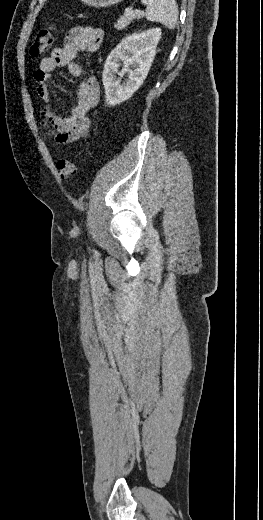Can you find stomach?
I'll return each instance as SVG.
<instances>
[{
    "instance_id": "1",
    "label": "stomach",
    "mask_w": 263,
    "mask_h": 520,
    "mask_svg": "<svg viewBox=\"0 0 263 520\" xmlns=\"http://www.w3.org/2000/svg\"><path fill=\"white\" fill-rule=\"evenodd\" d=\"M86 5L96 7V8H105L115 5L123 0H81Z\"/></svg>"
}]
</instances>
